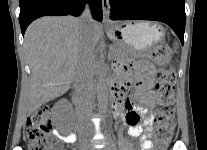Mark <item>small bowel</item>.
<instances>
[{
  "mask_svg": "<svg viewBox=\"0 0 207 150\" xmlns=\"http://www.w3.org/2000/svg\"><path fill=\"white\" fill-rule=\"evenodd\" d=\"M118 70L125 75V79L116 83L113 101L114 115L128 125V132L132 137L140 140V150H152L153 143L148 139V135L150 134V109L156 102L152 91L154 67L146 62L136 64L122 62L118 65ZM133 81L136 85V98L142 106L135 105L125 98V93ZM55 134L66 143H74L77 139L74 133L65 135L55 131Z\"/></svg>",
  "mask_w": 207,
  "mask_h": 150,
  "instance_id": "c3829d8e",
  "label": "small bowel"
}]
</instances>
